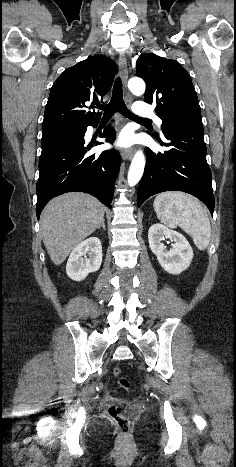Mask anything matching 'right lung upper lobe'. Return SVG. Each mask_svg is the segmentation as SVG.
Masks as SVG:
<instances>
[{
	"instance_id": "1",
	"label": "right lung upper lobe",
	"mask_w": 236,
	"mask_h": 467,
	"mask_svg": "<svg viewBox=\"0 0 236 467\" xmlns=\"http://www.w3.org/2000/svg\"><path fill=\"white\" fill-rule=\"evenodd\" d=\"M117 66L106 57L95 55L65 70L53 84L45 107L43 132L78 129L99 121L101 113L88 112V104L110 90Z\"/></svg>"
}]
</instances>
